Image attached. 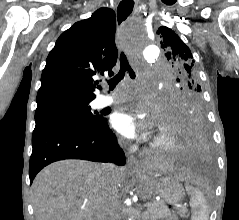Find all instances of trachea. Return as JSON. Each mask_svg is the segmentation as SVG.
<instances>
[{
	"label": "trachea",
	"instance_id": "trachea-1",
	"mask_svg": "<svg viewBox=\"0 0 239 220\" xmlns=\"http://www.w3.org/2000/svg\"><path fill=\"white\" fill-rule=\"evenodd\" d=\"M120 70L117 75H115L113 78L108 80L109 89L113 90L116 85L124 78L125 73L128 72L129 76L134 79L135 78V72L132 70L131 66L129 65V62L127 60L126 55L122 52L120 55Z\"/></svg>",
	"mask_w": 239,
	"mask_h": 220
}]
</instances>
